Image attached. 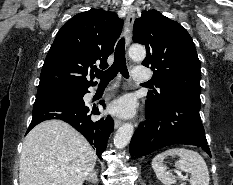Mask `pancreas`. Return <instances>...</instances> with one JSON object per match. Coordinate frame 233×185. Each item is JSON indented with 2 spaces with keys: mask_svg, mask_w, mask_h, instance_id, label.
I'll return each mask as SVG.
<instances>
[{
  "mask_svg": "<svg viewBox=\"0 0 233 185\" xmlns=\"http://www.w3.org/2000/svg\"><path fill=\"white\" fill-rule=\"evenodd\" d=\"M180 185H186V183H185V182H182Z\"/></svg>",
  "mask_w": 233,
  "mask_h": 185,
  "instance_id": "obj_1",
  "label": "pancreas"
}]
</instances>
